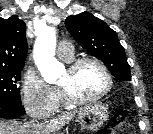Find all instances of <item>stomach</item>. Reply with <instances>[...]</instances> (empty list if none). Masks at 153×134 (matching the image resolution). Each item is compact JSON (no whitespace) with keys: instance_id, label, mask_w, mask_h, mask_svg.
I'll return each mask as SVG.
<instances>
[{"instance_id":"obj_1","label":"stomach","mask_w":153,"mask_h":134,"mask_svg":"<svg viewBox=\"0 0 153 134\" xmlns=\"http://www.w3.org/2000/svg\"><path fill=\"white\" fill-rule=\"evenodd\" d=\"M108 108L100 103L88 105L80 110L78 122L81 129L96 131L107 121Z\"/></svg>"}]
</instances>
